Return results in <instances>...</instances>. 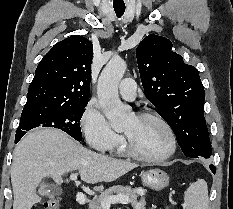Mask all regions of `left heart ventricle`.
I'll list each match as a JSON object with an SVG mask.
<instances>
[{
	"instance_id": "obj_1",
	"label": "left heart ventricle",
	"mask_w": 233,
	"mask_h": 209,
	"mask_svg": "<svg viewBox=\"0 0 233 209\" xmlns=\"http://www.w3.org/2000/svg\"><path fill=\"white\" fill-rule=\"evenodd\" d=\"M134 148L149 157L162 155L169 146V138L164 127L152 118H137L135 115L123 129Z\"/></svg>"
}]
</instances>
